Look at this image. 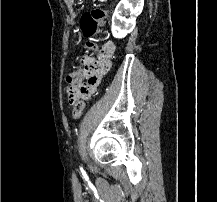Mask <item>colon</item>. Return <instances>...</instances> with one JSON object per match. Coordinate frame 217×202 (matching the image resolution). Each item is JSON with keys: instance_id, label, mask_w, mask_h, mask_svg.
I'll return each instance as SVG.
<instances>
[{"instance_id": "5ec220e1", "label": "colon", "mask_w": 217, "mask_h": 202, "mask_svg": "<svg viewBox=\"0 0 217 202\" xmlns=\"http://www.w3.org/2000/svg\"><path fill=\"white\" fill-rule=\"evenodd\" d=\"M107 17V10L104 8H92L82 13L80 18V30L85 37V49L90 51L95 46L94 37L99 32L100 27L105 23ZM84 74H90L85 68L72 70L67 76L68 87L66 93L69 97V103L72 99H80L76 93L82 87L84 82ZM84 107L78 104L72 110V116L78 118L81 116Z\"/></svg>"}]
</instances>
